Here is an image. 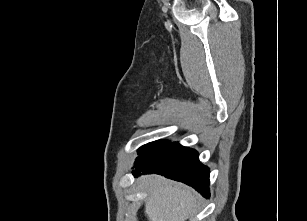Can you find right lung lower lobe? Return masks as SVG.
<instances>
[{
    "label": "right lung lower lobe",
    "mask_w": 307,
    "mask_h": 221,
    "mask_svg": "<svg viewBox=\"0 0 307 221\" xmlns=\"http://www.w3.org/2000/svg\"><path fill=\"white\" fill-rule=\"evenodd\" d=\"M139 154L135 161L134 174H161L193 187L203 197H210V171L200 163L199 155L194 149L183 147L179 143H166Z\"/></svg>",
    "instance_id": "98d812e1"
}]
</instances>
